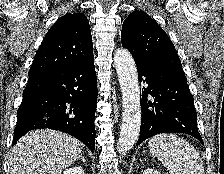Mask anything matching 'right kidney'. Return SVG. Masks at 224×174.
<instances>
[{
    "label": "right kidney",
    "mask_w": 224,
    "mask_h": 174,
    "mask_svg": "<svg viewBox=\"0 0 224 174\" xmlns=\"http://www.w3.org/2000/svg\"><path fill=\"white\" fill-rule=\"evenodd\" d=\"M63 174H84L82 167L76 166L66 169Z\"/></svg>",
    "instance_id": "ca27d5eb"
}]
</instances>
